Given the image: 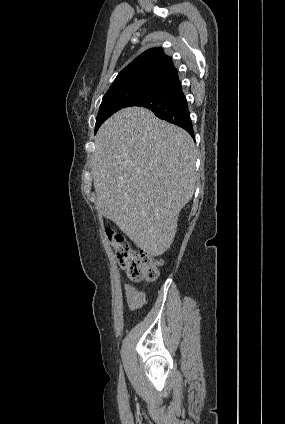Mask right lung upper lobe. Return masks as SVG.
Returning <instances> with one entry per match:
<instances>
[{
	"instance_id": "cb5924a9",
	"label": "right lung upper lobe",
	"mask_w": 285,
	"mask_h": 424,
	"mask_svg": "<svg viewBox=\"0 0 285 424\" xmlns=\"http://www.w3.org/2000/svg\"><path fill=\"white\" fill-rule=\"evenodd\" d=\"M178 78L172 59L162 48L146 50L128 64L116 77L111 88L139 82L166 84Z\"/></svg>"
}]
</instances>
